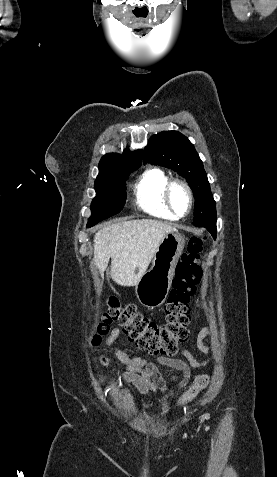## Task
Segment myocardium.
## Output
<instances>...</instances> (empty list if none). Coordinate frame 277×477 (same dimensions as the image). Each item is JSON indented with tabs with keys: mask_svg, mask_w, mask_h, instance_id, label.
Wrapping results in <instances>:
<instances>
[{
	"mask_svg": "<svg viewBox=\"0 0 277 477\" xmlns=\"http://www.w3.org/2000/svg\"><path fill=\"white\" fill-rule=\"evenodd\" d=\"M175 186H181L185 189L187 195H188V198H189V206H188V210L185 214H179L174 206H173V203H172V199H171V194H172V190ZM164 201H165V204L166 206L168 207V209L175 215L177 216L178 218H183V217H186L187 215L190 214V212L192 211L193 209V205H194V195H193V191L190 187V185L185 181V180H182V179H173V180H170L165 188H164Z\"/></svg>",
	"mask_w": 277,
	"mask_h": 477,
	"instance_id": "obj_1",
	"label": "myocardium"
}]
</instances>
